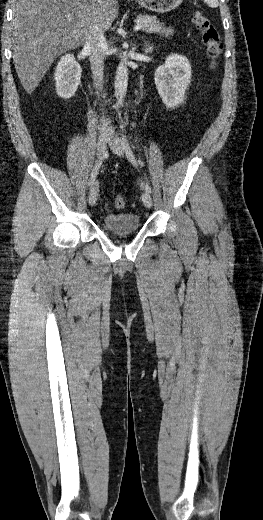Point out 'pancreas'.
Masks as SVG:
<instances>
[{"label":"pancreas","instance_id":"1","mask_svg":"<svg viewBox=\"0 0 263 520\" xmlns=\"http://www.w3.org/2000/svg\"><path fill=\"white\" fill-rule=\"evenodd\" d=\"M137 19L141 22L143 31L159 33L164 29V25L160 23L156 16L138 15Z\"/></svg>","mask_w":263,"mask_h":520}]
</instances>
